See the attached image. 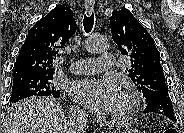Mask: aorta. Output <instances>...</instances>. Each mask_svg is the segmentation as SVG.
Returning <instances> with one entry per match:
<instances>
[{
	"instance_id": "1",
	"label": "aorta",
	"mask_w": 184,
	"mask_h": 133,
	"mask_svg": "<svg viewBox=\"0 0 184 133\" xmlns=\"http://www.w3.org/2000/svg\"><path fill=\"white\" fill-rule=\"evenodd\" d=\"M84 48L89 53H101L108 50L109 43L104 36L92 34L85 40Z\"/></svg>"
}]
</instances>
